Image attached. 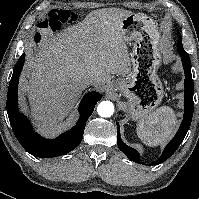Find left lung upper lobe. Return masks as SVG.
Here are the masks:
<instances>
[{
  "label": "left lung upper lobe",
  "instance_id": "5c2ea615",
  "mask_svg": "<svg viewBox=\"0 0 199 199\" xmlns=\"http://www.w3.org/2000/svg\"><path fill=\"white\" fill-rule=\"evenodd\" d=\"M179 46L183 48L182 38H181L180 33H178L177 49H178Z\"/></svg>",
  "mask_w": 199,
  "mask_h": 199
}]
</instances>
